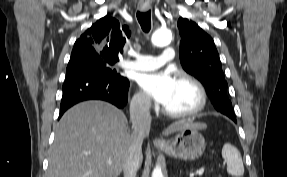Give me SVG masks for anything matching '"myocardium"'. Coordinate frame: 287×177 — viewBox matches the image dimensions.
Returning <instances> with one entry per match:
<instances>
[{
  "instance_id": "1",
  "label": "myocardium",
  "mask_w": 287,
  "mask_h": 177,
  "mask_svg": "<svg viewBox=\"0 0 287 177\" xmlns=\"http://www.w3.org/2000/svg\"><path fill=\"white\" fill-rule=\"evenodd\" d=\"M177 80L180 82L187 83L195 89L198 96V103L193 109L189 111L175 112V111H169L163 107L162 108L163 113L171 118H186L199 114L206 107L208 100L207 92L203 84L195 77L185 73L180 74Z\"/></svg>"
}]
</instances>
